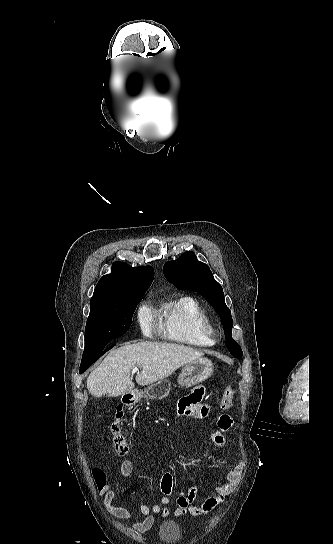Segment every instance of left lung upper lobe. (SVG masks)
<instances>
[{"instance_id":"1","label":"left lung upper lobe","mask_w":333,"mask_h":544,"mask_svg":"<svg viewBox=\"0 0 333 544\" xmlns=\"http://www.w3.org/2000/svg\"><path fill=\"white\" fill-rule=\"evenodd\" d=\"M163 273L167 280L181 289H193L211 303L221 316L227 338V347L232 356L241 358V347L231 336L233 320L224 301L221 285L214 279L209 267L198 261L193 252L183 253L177 260L167 262Z\"/></svg>"}]
</instances>
